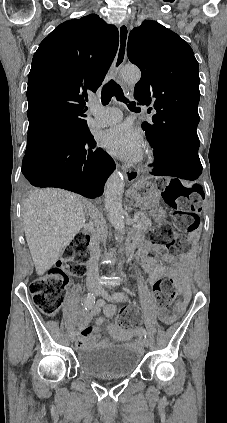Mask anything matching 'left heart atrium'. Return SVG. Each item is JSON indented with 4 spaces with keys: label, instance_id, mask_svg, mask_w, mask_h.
<instances>
[{
    "label": "left heart atrium",
    "instance_id": "1",
    "mask_svg": "<svg viewBox=\"0 0 227 423\" xmlns=\"http://www.w3.org/2000/svg\"><path fill=\"white\" fill-rule=\"evenodd\" d=\"M104 148L128 162H138L144 153L146 142L143 133L130 125H120L101 135Z\"/></svg>",
    "mask_w": 227,
    "mask_h": 423
}]
</instances>
